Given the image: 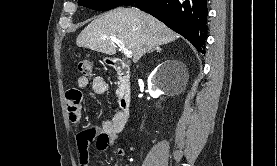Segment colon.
Instances as JSON below:
<instances>
[{
    "label": "colon",
    "mask_w": 277,
    "mask_h": 166,
    "mask_svg": "<svg viewBox=\"0 0 277 166\" xmlns=\"http://www.w3.org/2000/svg\"><path fill=\"white\" fill-rule=\"evenodd\" d=\"M78 70L84 76H89L92 72V62L89 59H83L78 63Z\"/></svg>",
    "instance_id": "5ec220e1"
}]
</instances>
